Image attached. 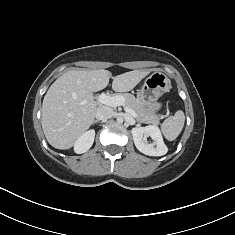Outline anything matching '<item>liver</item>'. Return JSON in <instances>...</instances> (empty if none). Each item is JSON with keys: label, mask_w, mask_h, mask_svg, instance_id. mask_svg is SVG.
<instances>
[{"label": "liver", "mask_w": 235, "mask_h": 235, "mask_svg": "<svg viewBox=\"0 0 235 235\" xmlns=\"http://www.w3.org/2000/svg\"><path fill=\"white\" fill-rule=\"evenodd\" d=\"M149 71L133 70L113 77L115 92L132 90ZM112 74L108 70H71L48 89L42 103L41 125L48 143L57 149H69L93 124L97 103L93 92L107 87Z\"/></svg>", "instance_id": "liver-1"}]
</instances>
